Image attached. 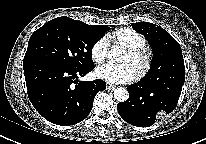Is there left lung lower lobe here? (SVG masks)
Wrapping results in <instances>:
<instances>
[{
	"label": "left lung lower lobe",
	"instance_id": "left-lung-lower-lobe-1",
	"mask_svg": "<svg viewBox=\"0 0 206 144\" xmlns=\"http://www.w3.org/2000/svg\"><path fill=\"white\" fill-rule=\"evenodd\" d=\"M184 81L185 72H179L156 84L146 86L138 82L128 86L129 99L117 105L119 115L134 126L153 125L159 116L175 109Z\"/></svg>",
	"mask_w": 206,
	"mask_h": 144
}]
</instances>
